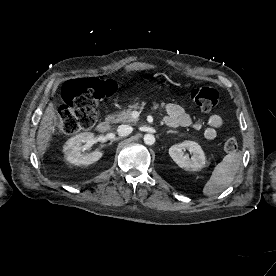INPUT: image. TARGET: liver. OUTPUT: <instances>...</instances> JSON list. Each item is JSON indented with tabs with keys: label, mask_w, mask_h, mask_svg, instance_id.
<instances>
[{
	"label": "liver",
	"mask_w": 276,
	"mask_h": 276,
	"mask_svg": "<svg viewBox=\"0 0 276 276\" xmlns=\"http://www.w3.org/2000/svg\"><path fill=\"white\" fill-rule=\"evenodd\" d=\"M154 68L153 65L142 63V62H134L125 66L126 71H139ZM54 121V103L50 102L48 107L46 108L44 115L40 122V127L37 134V149L41 153L44 154L46 149L48 148L49 142L52 138V126Z\"/></svg>",
	"instance_id": "obj_1"
}]
</instances>
